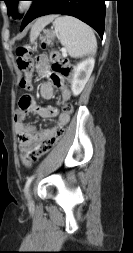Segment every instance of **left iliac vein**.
<instances>
[{
	"label": "left iliac vein",
	"mask_w": 133,
	"mask_h": 253,
	"mask_svg": "<svg viewBox=\"0 0 133 253\" xmlns=\"http://www.w3.org/2000/svg\"><path fill=\"white\" fill-rule=\"evenodd\" d=\"M29 204L33 205V200H32V196H31V192H29Z\"/></svg>",
	"instance_id": "4c4485c4"
}]
</instances>
